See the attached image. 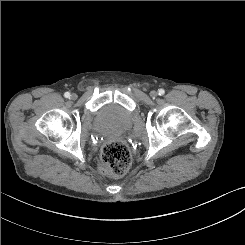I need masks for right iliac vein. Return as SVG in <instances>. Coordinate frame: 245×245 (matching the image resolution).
I'll return each instance as SVG.
<instances>
[{"label":"right iliac vein","mask_w":245,"mask_h":245,"mask_svg":"<svg viewBox=\"0 0 245 245\" xmlns=\"http://www.w3.org/2000/svg\"><path fill=\"white\" fill-rule=\"evenodd\" d=\"M70 98L72 100H76L77 99V94H75V93L71 94Z\"/></svg>","instance_id":"1"}]
</instances>
